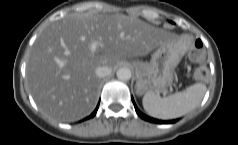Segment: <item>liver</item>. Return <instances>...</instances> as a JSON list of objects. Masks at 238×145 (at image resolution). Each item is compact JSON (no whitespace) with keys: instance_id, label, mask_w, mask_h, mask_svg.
<instances>
[{"instance_id":"1","label":"liver","mask_w":238,"mask_h":145,"mask_svg":"<svg viewBox=\"0 0 238 145\" xmlns=\"http://www.w3.org/2000/svg\"><path fill=\"white\" fill-rule=\"evenodd\" d=\"M168 38L162 29L123 14H68L46 27L32 46L26 68L30 93L46 115L79 120L97 104V67L116 68L122 59L145 56Z\"/></svg>"}]
</instances>
